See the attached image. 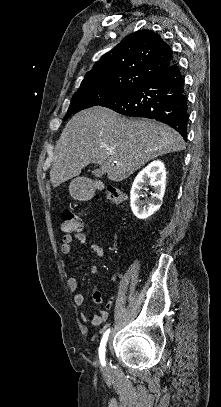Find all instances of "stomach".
<instances>
[{
	"label": "stomach",
	"mask_w": 221,
	"mask_h": 407,
	"mask_svg": "<svg viewBox=\"0 0 221 407\" xmlns=\"http://www.w3.org/2000/svg\"><path fill=\"white\" fill-rule=\"evenodd\" d=\"M69 191L70 194L78 200H85L88 197L87 190L80 178L71 181Z\"/></svg>",
	"instance_id": "1"
}]
</instances>
